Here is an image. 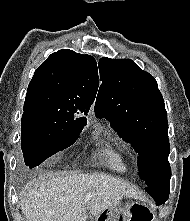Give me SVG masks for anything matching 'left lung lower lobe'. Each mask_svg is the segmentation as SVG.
<instances>
[{"mask_svg": "<svg viewBox=\"0 0 190 221\" xmlns=\"http://www.w3.org/2000/svg\"><path fill=\"white\" fill-rule=\"evenodd\" d=\"M170 178L171 172L169 175L165 176L157 184L147 187V192L154 198L156 205L164 204L168 199V194L170 191Z\"/></svg>", "mask_w": 190, "mask_h": 221, "instance_id": "left-lung-lower-lobe-1", "label": "left lung lower lobe"}]
</instances>
